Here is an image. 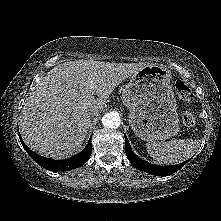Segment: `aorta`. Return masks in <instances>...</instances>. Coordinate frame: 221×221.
Returning a JSON list of instances; mask_svg holds the SVG:
<instances>
[{"mask_svg":"<svg viewBox=\"0 0 221 221\" xmlns=\"http://www.w3.org/2000/svg\"><path fill=\"white\" fill-rule=\"evenodd\" d=\"M101 121H102V125L108 129H116L119 127L121 123L119 114L115 112H110V113L105 114L102 117Z\"/></svg>","mask_w":221,"mask_h":221,"instance_id":"1","label":"aorta"}]
</instances>
